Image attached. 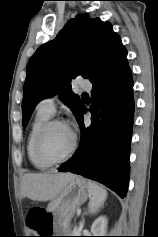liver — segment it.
Here are the masks:
<instances>
[{"instance_id":"liver-1","label":"liver","mask_w":158,"mask_h":237,"mask_svg":"<svg viewBox=\"0 0 158 237\" xmlns=\"http://www.w3.org/2000/svg\"><path fill=\"white\" fill-rule=\"evenodd\" d=\"M77 176L71 173H28L21 180V194L31 200L49 201Z\"/></svg>"}]
</instances>
